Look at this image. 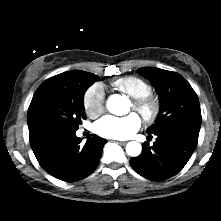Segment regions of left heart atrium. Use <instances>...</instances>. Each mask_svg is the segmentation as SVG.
Instances as JSON below:
<instances>
[{
  "label": "left heart atrium",
  "mask_w": 221,
  "mask_h": 221,
  "mask_svg": "<svg viewBox=\"0 0 221 221\" xmlns=\"http://www.w3.org/2000/svg\"><path fill=\"white\" fill-rule=\"evenodd\" d=\"M141 126L137 114L131 113L124 117L107 115L95 124V131L102 137L111 139L130 138Z\"/></svg>",
  "instance_id": "39dd6f15"
}]
</instances>
